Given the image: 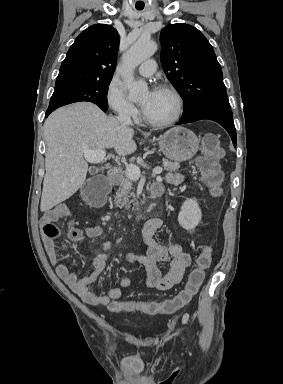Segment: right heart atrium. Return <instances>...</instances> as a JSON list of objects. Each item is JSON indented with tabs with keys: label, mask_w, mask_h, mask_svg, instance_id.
Listing matches in <instances>:
<instances>
[{
	"label": "right heart atrium",
	"mask_w": 283,
	"mask_h": 384,
	"mask_svg": "<svg viewBox=\"0 0 283 384\" xmlns=\"http://www.w3.org/2000/svg\"><path fill=\"white\" fill-rule=\"evenodd\" d=\"M106 100L109 108L121 119L131 120L137 116L135 105L127 99L123 87L115 79L107 85Z\"/></svg>",
	"instance_id": "1"
}]
</instances>
